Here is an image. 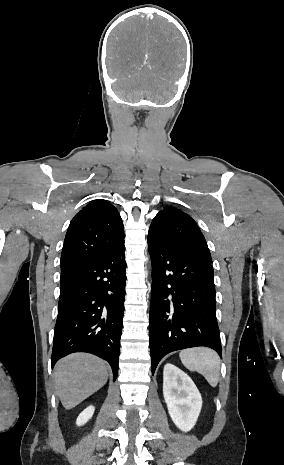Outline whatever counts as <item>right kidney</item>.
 Returning <instances> with one entry per match:
<instances>
[{
    "label": "right kidney",
    "mask_w": 284,
    "mask_h": 465,
    "mask_svg": "<svg viewBox=\"0 0 284 465\" xmlns=\"http://www.w3.org/2000/svg\"><path fill=\"white\" fill-rule=\"evenodd\" d=\"M94 411L95 407H87V409H84V411L80 413L79 417H77L76 425H78V427H82V425L88 423L89 419L93 417Z\"/></svg>",
    "instance_id": "right-kidney-1"
}]
</instances>
